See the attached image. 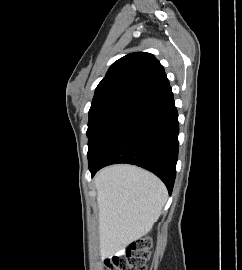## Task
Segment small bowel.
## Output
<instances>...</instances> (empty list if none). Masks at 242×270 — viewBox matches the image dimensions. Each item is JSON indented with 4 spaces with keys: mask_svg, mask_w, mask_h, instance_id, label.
<instances>
[{
    "mask_svg": "<svg viewBox=\"0 0 242 270\" xmlns=\"http://www.w3.org/2000/svg\"><path fill=\"white\" fill-rule=\"evenodd\" d=\"M122 253H123V251H122V250H120V251H118L116 254H118V255H119V254H122ZM108 260H109V259L105 260V262H106V261H108Z\"/></svg>",
    "mask_w": 242,
    "mask_h": 270,
    "instance_id": "small-bowel-1",
    "label": "small bowel"
}]
</instances>
